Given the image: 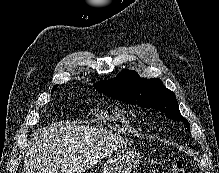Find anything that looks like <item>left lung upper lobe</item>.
Returning a JSON list of instances; mask_svg holds the SVG:
<instances>
[{"mask_svg":"<svg viewBox=\"0 0 219 173\" xmlns=\"http://www.w3.org/2000/svg\"><path fill=\"white\" fill-rule=\"evenodd\" d=\"M94 88L119 101L158 109L168 118L182 121L189 130V122L181 116L175 94L158 78L144 79L134 71L122 70L115 79L99 81Z\"/></svg>","mask_w":219,"mask_h":173,"instance_id":"obj_1","label":"left lung upper lobe"}]
</instances>
